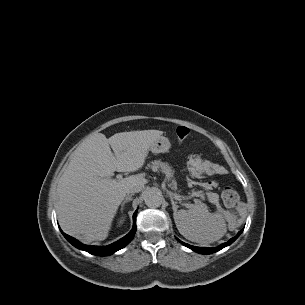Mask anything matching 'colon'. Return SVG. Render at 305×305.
I'll use <instances>...</instances> for the list:
<instances>
[{
	"mask_svg": "<svg viewBox=\"0 0 305 305\" xmlns=\"http://www.w3.org/2000/svg\"><path fill=\"white\" fill-rule=\"evenodd\" d=\"M190 134V129L185 126H179L176 129V136L179 141L185 140ZM222 200L225 206L230 210L232 216H236V206L239 201V195L233 188H226L222 192Z\"/></svg>",
	"mask_w": 305,
	"mask_h": 305,
	"instance_id": "1",
	"label": "colon"
}]
</instances>
